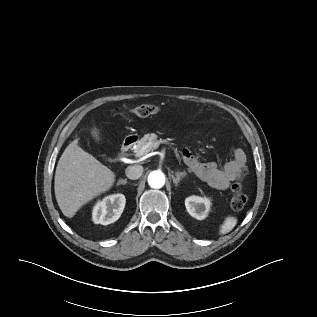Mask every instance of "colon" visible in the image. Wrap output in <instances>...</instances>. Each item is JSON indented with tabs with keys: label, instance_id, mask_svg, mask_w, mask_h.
<instances>
[{
	"label": "colon",
	"instance_id": "obj_1",
	"mask_svg": "<svg viewBox=\"0 0 317 317\" xmlns=\"http://www.w3.org/2000/svg\"><path fill=\"white\" fill-rule=\"evenodd\" d=\"M158 111H159V107L154 104H142L132 108L130 110V113L137 117H148L158 113ZM246 174H247L246 168L241 169L239 180L235 182L231 187V191H232L231 207L235 211L242 210L248 201V197L244 193L243 185H242V180L244 179Z\"/></svg>",
	"mask_w": 317,
	"mask_h": 317
}]
</instances>
